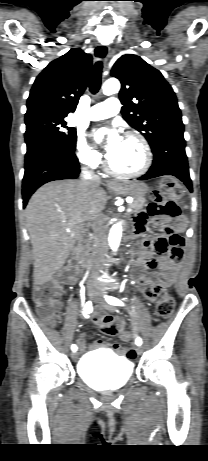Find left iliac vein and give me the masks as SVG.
Returning <instances> with one entry per match:
<instances>
[{"label":"left iliac vein","mask_w":208,"mask_h":461,"mask_svg":"<svg viewBox=\"0 0 208 461\" xmlns=\"http://www.w3.org/2000/svg\"><path fill=\"white\" fill-rule=\"evenodd\" d=\"M95 301H96L97 303H99L101 306H103L105 309L109 310V311H113V310H114L113 306H111V305H109L108 303H106V301H105L104 298H103V294H102V293L96 294ZM136 352H137L138 355L142 354V352H143L142 346H137V347H136Z\"/></svg>","instance_id":"obj_1"}]
</instances>
